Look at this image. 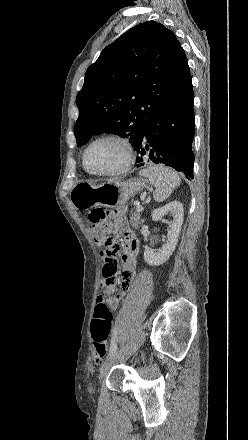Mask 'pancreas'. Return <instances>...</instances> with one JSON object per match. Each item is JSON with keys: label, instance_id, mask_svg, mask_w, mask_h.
<instances>
[{"label": "pancreas", "instance_id": "cf45deb5", "mask_svg": "<svg viewBox=\"0 0 248 440\" xmlns=\"http://www.w3.org/2000/svg\"><path fill=\"white\" fill-rule=\"evenodd\" d=\"M140 218H141V214L139 211H135L134 213H132L131 218H130V222L132 227L134 228H138L140 225Z\"/></svg>", "mask_w": 248, "mask_h": 440}]
</instances>
